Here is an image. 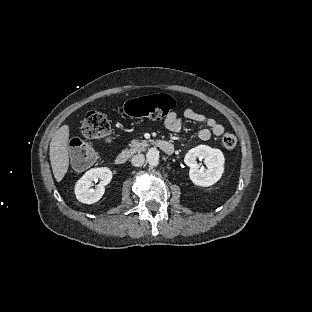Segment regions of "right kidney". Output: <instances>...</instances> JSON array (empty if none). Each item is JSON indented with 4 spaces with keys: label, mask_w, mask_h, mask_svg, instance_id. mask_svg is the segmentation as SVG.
<instances>
[{
    "label": "right kidney",
    "mask_w": 312,
    "mask_h": 312,
    "mask_svg": "<svg viewBox=\"0 0 312 312\" xmlns=\"http://www.w3.org/2000/svg\"><path fill=\"white\" fill-rule=\"evenodd\" d=\"M112 172L107 167L92 168L88 170L76 183L75 195L78 201L85 204H93L100 200L105 192V185L110 183ZM100 180L99 184L94 186L93 181Z\"/></svg>",
    "instance_id": "right-kidney-1"
}]
</instances>
